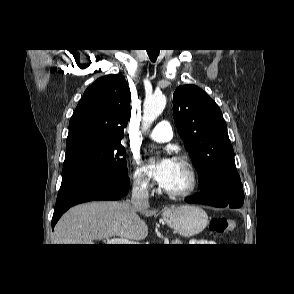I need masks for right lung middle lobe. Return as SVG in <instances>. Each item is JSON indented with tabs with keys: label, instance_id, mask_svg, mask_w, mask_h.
<instances>
[{
	"label": "right lung middle lobe",
	"instance_id": "obj_1",
	"mask_svg": "<svg viewBox=\"0 0 294 294\" xmlns=\"http://www.w3.org/2000/svg\"><path fill=\"white\" fill-rule=\"evenodd\" d=\"M124 156L121 142L81 140L66 144L62 182L86 173L126 177Z\"/></svg>",
	"mask_w": 294,
	"mask_h": 294
}]
</instances>
